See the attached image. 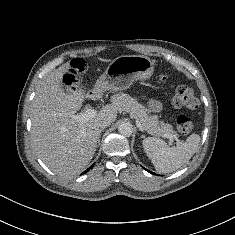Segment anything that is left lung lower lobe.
<instances>
[{
  "label": "left lung lower lobe",
  "instance_id": "obj_1",
  "mask_svg": "<svg viewBox=\"0 0 235 235\" xmlns=\"http://www.w3.org/2000/svg\"><path fill=\"white\" fill-rule=\"evenodd\" d=\"M146 170V169H145ZM148 172H150L151 174H154V175H156L155 173H153V172H151V171H149V170H147Z\"/></svg>",
  "mask_w": 235,
  "mask_h": 235
}]
</instances>
